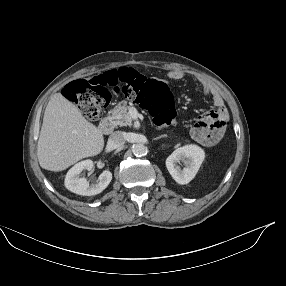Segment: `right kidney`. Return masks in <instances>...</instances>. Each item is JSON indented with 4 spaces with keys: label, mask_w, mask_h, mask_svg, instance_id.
Listing matches in <instances>:
<instances>
[{
    "label": "right kidney",
    "mask_w": 286,
    "mask_h": 286,
    "mask_svg": "<svg viewBox=\"0 0 286 286\" xmlns=\"http://www.w3.org/2000/svg\"><path fill=\"white\" fill-rule=\"evenodd\" d=\"M93 166L92 160H84L75 164L66 174L65 187L71 192L83 196H93L101 193L112 180L110 171H103L98 178V182L91 185L86 178L79 177L82 171H91Z\"/></svg>",
    "instance_id": "obj_1"
}]
</instances>
